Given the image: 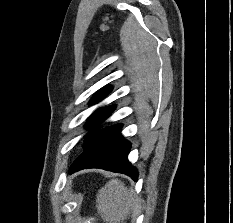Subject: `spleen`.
I'll list each match as a JSON object with an SVG mask.
<instances>
[{"label":"spleen","mask_w":233,"mask_h":223,"mask_svg":"<svg viewBox=\"0 0 233 223\" xmlns=\"http://www.w3.org/2000/svg\"><path fill=\"white\" fill-rule=\"evenodd\" d=\"M141 197L128 189L120 179H110L96 193V209L106 223H125L129 213L140 211Z\"/></svg>","instance_id":"spleen-1"}]
</instances>
